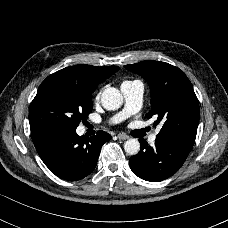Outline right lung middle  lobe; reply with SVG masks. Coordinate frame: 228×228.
I'll use <instances>...</instances> for the list:
<instances>
[{"label":"right lung middle lobe","instance_id":"dd1d6c3e","mask_svg":"<svg viewBox=\"0 0 228 228\" xmlns=\"http://www.w3.org/2000/svg\"><path fill=\"white\" fill-rule=\"evenodd\" d=\"M92 92L74 79L48 76L30 106L31 134L55 128L76 129L92 112Z\"/></svg>","mask_w":228,"mask_h":228}]
</instances>
